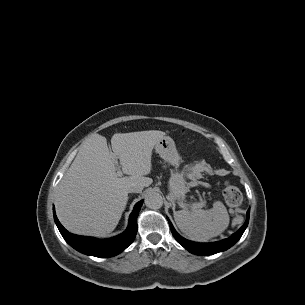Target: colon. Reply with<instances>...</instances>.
Here are the masks:
<instances>
[{"label": "colon", "mask_w": 305, "mask_h": 305, "mask_svg": "<svg viewBox=\"0 0 305 305\" xmlns=\"http://www.w3.org/2000/svg\"><path fill=\"white\" fill-rule=\"evenodd\" d=\"M223 197L225 202L230 207H237L242 202V194L240 190L230 183L225 184V187L223 189Z\"/></svg>", "instance_id": "5ec220e1"}]
</instances>
